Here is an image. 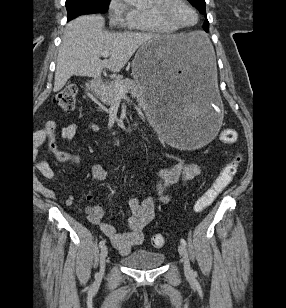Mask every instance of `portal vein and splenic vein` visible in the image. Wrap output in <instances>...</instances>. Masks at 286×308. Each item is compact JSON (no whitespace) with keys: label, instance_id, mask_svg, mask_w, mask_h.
<instances>
[{"label":"portal vein and splenic vein","instance_id":"1","mask_svg":"<svg viewBox=\"0 0 286 308\" xmlns=\"http://www.w3.org/2000/svg\"><path fill=\"white\" fill-rule=\"evenodd\" d=\"M101 56L104 57V58H107L110 56V52L108 51H104L101 53ZM116 88H117V95L118 96H121L125 93H128L129 92V89L121 84H116Z\"/></svg>","mask_w":286,"mask_h":308}]
</instances>
